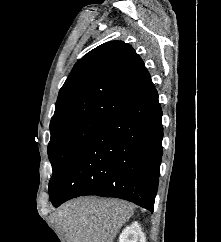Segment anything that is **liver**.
I'll return each instance as SVG.
<instances>
[{"label":"liver","instance_id":"obj_1","mask_svg":"<svg viewBox=\"0 0 221 242\" xmlns=\"http://www.w3.org/2000/svg\"><path fill=\"white\" fill-rule=\"evenodd\" d=\"M133 213L126 201L79 198L62 205L55 221L67 242H113Z\"/></svg>","mask_w":221,"mask_h":242}]
</instances>
